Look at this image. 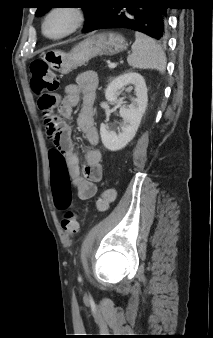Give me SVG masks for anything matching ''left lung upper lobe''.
Here are the masks:
<instances>
[{"instance_id": "5c2ea615", "label": "left lung upper lobe", "mask_w": 213, "mask_h": 338, "mask_svg": "<svg viewBox=\"0 0 213 338\" xmlns=\"http://www.w3.org/2000/svg\"><path fill=\"white\" fill-rule=\"evenodd\" d=\"M103 0H84L83 2L87 4L86 7H83L85 13V25L84 29L95 19L97 14L100 11L101 5ZM39 2H46V1H39ZM50 8L46 5H41L37 8L35 16H41Z\"/></svg>"}]
</instances>
